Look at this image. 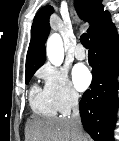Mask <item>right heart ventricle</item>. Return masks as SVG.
Listing matches in <instances>:
<instances>
[{
    "instance_id": "e07e8e85",
    "label": "right heart ventricle",
    "mask_w": 119,
    "mask_h": 141,
    "mask_svg": "<svg viewBox=\"0 0 119 141\" xmlns=\"http://www.w3.org/2000/svg\"><path fill=\"white\" fill-rule=\"evenodd\" d=\"M29 100L33 111L41 116L55 117L57 109L44 89L33 85L30 90Z\"/></svg>"
}]
</instances>
